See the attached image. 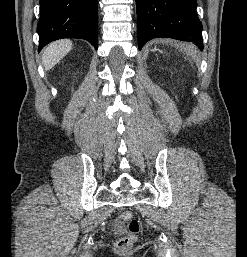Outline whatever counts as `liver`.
<instances>
[{"label":"liver","instance_id":"6515ba94","mask_svg":"<svg viewBox=\"0 0 247 257\" xmlns=\"http://www.w3.org/2000/svg\"><path fill=\"white\" fill-rule=\"evenodd\" d=\"M72 49L70 40H59L49 44L42 55L45 70L52 69Z\"/></svg>","mask_w":247,"mask_h":257}]
</instances>
